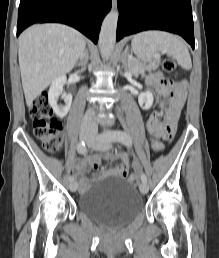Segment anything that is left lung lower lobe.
<instances>
[{
  "mask_svg": "<svg viewBox=\"0 0 219 258\" xmlns=\"http://www.w3.org/2000/svg\"><path fill=\"white\" fill-rule=\"evenodd\" d=\"M117 41L144 30H164L181 35L194 49V24L190 0H117Z\"/></svg>",
  "mask_w": 219,
  "mask_h": 258,
  "instance_id": "1",
  "label": "left lung lower lobe"
}]
</instances>
